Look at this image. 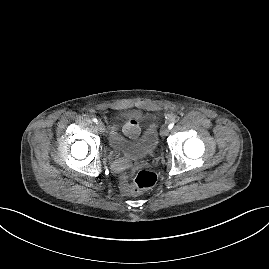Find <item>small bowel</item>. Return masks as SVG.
Here are the masks:
<instances>
[{
    "label": "small bowel",
    "instance_id": "obj_1",
    "mask_svg": "<svg viewBox=\"0 0 269 269\" xmlns=\"http://www.w3.org/2000/svg\"><path fill=\"white\" fill-rule=\"evenodd\" d=\"M123 132L131 137L134 138L139 134V125L138 122L135 119H132L128 121L124 126H123Z\"/></svg>",
    "mask_w": 269,
    "mask_h": 269
}]
</instances>
